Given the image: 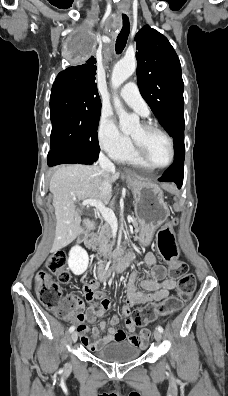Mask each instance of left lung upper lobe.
<instances>
[{
    "instance_id": "left-lung-upper-lobe-1",
    "label": "left lung upper lobe",
    "mask_w": 228,
    "mask_h": 396,
    "mask_svg": "<svg viewBox=\"0 0 228 396\" xmlns=\"http://www.w3.org/2000/svg\"><path fill=\"white\" fill-rule=\"evenodd\" d=\"M137 82L142 97L171 136L184 130L181 65L168 39L144 26L135 36Z\"/></svg>"
}]
</instances>
